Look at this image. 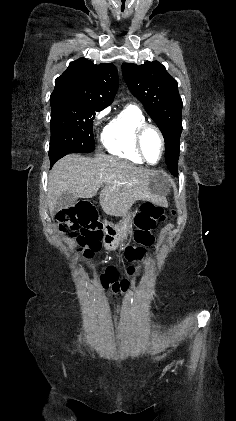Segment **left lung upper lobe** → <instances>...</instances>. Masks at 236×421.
Masks as SVG:
<instances>
[{"label": "left lung upper lobe", "instance_id": "left-lung-upper-lobe-1", "mask_svg": "<svg viewBox=\"0 0 236 421\" xmlns=\"http://www.w3.org/2000/svg\"><path fill=\"white\" fill-rule=\"evenodd\" d=\"M122 72L128 88L142 102L163 134L167 166L178 165L182 99L177 81L157 61L139 66L123 63Z\"/></svg>", "mask_w": 236, "mask_h": 421}]
</instances>
